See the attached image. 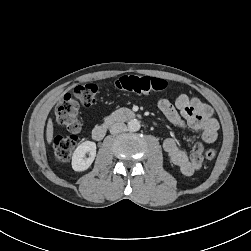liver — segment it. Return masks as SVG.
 Returning a JSON list of instances; mask_svg holds the SVG:
<instances>
[{
  "label": "liver",
  "mask_w": 251,
  "mask_h": 251,
  "mask_svg": "<svg viewBox=\"0 0 251 251\" xmlns=\"http://www.w3.org/2000/svg\"><path fill=\"white\" fill-rule=\"evenodd\" d=\"M53 138V122L52 119L50 118L47 123V128H46V140L47 143L50 144Z\"/></svg>",
  "instance_id": "1"
}]
</instances>
